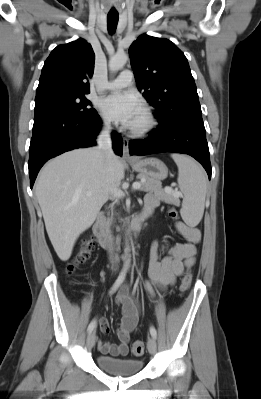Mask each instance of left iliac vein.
<instances>
[{"label":"left iliac vein","instance_id":"1","mask_svg":"<svg viewBox=\"0 0 261 399\" xmlns=\"http://www.w3.org/2000/svg\"><path fill=\"white\" fill-rule=\"evenodd\" d=\"M147 348H148V351L150 354L154 355L156 353L157 344H156V340L154 339V337H151L148 339Z\"/></svg>","mask_w":261,"mask_h":399}]
</instances>
